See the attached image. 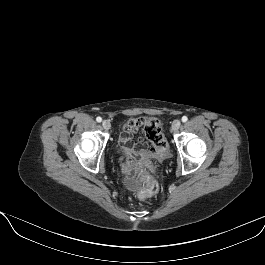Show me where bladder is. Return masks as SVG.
<instances>
[{"mask_svg": "<svg viewBox=\"0 0 265 265\" xmlns=\"http://www.w3.org/2000/svg\"><path fill=\"white\" fill-rule=\"evenodd\" d=\"M161 156H163V155H158V157H161Z\"/></svg>", "mask_w": 265, "mask_h": 265, "instance_id": "obj_1", "label": "bladder"}]
</instances>
